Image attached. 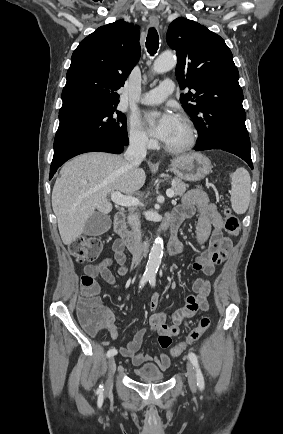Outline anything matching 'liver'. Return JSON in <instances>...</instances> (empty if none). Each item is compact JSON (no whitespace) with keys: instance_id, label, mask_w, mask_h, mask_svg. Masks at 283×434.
I'll use <instances>...</instances> for the list:
<instances>
[{"instance_id":"liver-1","label":"liver","mask_w":283,"mask_h":434,"mask_svg":"<svg viewBox=\"0 0 283 434\" xmlns=\"http://www.w3.org/2000/svg\"><path fill=\"white\" fill-rule=\"evenodd\" d=\"M146 181L142 168L123 156L91 152L67 162L52 191V207L65 245H70L84 231L86 221L98 210L108 214L110 192L131 195Z\"/></svg>"}]
</instances>
